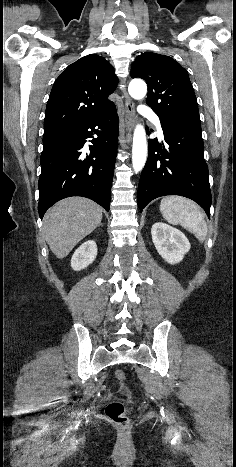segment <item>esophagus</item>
I'll return each instance as SVG.
<instances>
[{
  "instance_id": "esophagus-1",
  "label": "esophagus",
  "mask_w": 236,
  "mask_h": 467,
  "mask_svg": "<svg viewBox=\"0 0 236 467\" xmlns=\"http://www.w3.org/2000/svg\"><path fill=\"white\" fill-rule=\"evenodd\" d=\"M122 93L125 98L124 122L127 129L126 138L130 141L132 136L131 132L135 124V107L125 88L122 89Z\"/></svg>"
}]
</instances>
